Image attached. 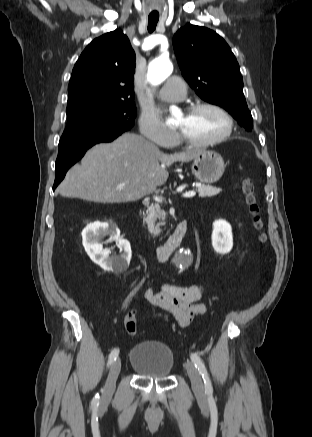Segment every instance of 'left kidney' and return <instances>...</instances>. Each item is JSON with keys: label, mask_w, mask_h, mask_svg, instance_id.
Here are the masks:
<instances>
[{"label": "left kidney", "mask_w": 312, "mask_h": 437, "mask_svg": "<svg viewBox=\"0 0 312 437\" xmlns=\"http://www.w3.org/2000/svg\"><path fill=\"white\" fill-rule=\"evenodd\" d=\"M212 246L219 254H227L233 247L231 225L225 220H216L213 223Z\"/></svg>", "instance_id": "5707ae66"}]
</instances>
